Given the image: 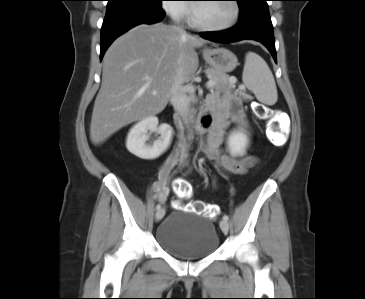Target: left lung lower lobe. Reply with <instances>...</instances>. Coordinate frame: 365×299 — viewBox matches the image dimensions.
Wrapping results in <instances>:
<instances>
[{"label":"left lung lower lobe","mask_w":365,"mask_h":299,"mask_svg":"<svg viewBox=\"0 0 365 299\" xmlns=\"http://www.w3.org/2000/svg\"><path fill=\"white\" fill-rule=\"evenodd\" d=\"M266 1L258 0L240 8V22L234 28L217 32H203L201 36L220 43L241 40L261 42L276 62L274 32Z\"/></svg>","instance_id":"obj_1"}]
</instances>
